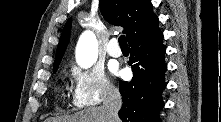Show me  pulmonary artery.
Returning a JSON list of instances; mask_svg holds the SVG:
<instances>
[{
    "label": "pulmonary artery",
    "mask_w": 221,
    "mask_h": 122,
    "mask_svg": "<svg viewBox=\"0 0 221 122\" xmlns=\"http://www.w3.org/2000/svg\"><path fill=\"white\" fill-rule=\"evenodd\" d=\"M107 52L112 57H120L122 55V51L118 46L117 39L113 38L110 40L107 46Z\"/></svg>",
    "instance_id": "e3ab8cb5"
}]
</instances>
